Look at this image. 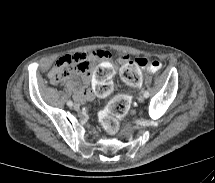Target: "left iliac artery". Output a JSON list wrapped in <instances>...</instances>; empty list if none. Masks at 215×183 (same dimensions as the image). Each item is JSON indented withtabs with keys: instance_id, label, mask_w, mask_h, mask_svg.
<instances>
[{
	"instance_id": "44dca946",
	"label": "left iliac artery",
	"mask_w": 215,
	"mask_h": 183,
	"mask_svg": "<svg viewBox=\"0 0 215 183\" xmlns=\"http://www.w3.org/2000/svg\"><path fill=\"white\" fill-rule=\"evenodd\" d=\"M143 95H144L145 98H148L149 97V92L146 90V91H144Z\"/></svg>"
}]
</instances>
